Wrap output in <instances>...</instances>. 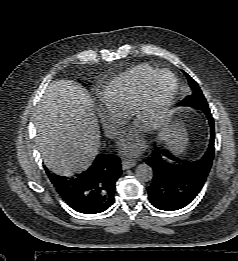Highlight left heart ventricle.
I'll use <instances>...</instances> for the list:
<instances>
[{"instance_id":"obj_1","label":"left heart ventricle","mask_w":238,"mask_h":261,"mask_svg":"<svg viewBox=\"0 0 238 261\" xmlns=\"http://www.w3.org/2000/svg\"><path fill=\"white\" fill-rule=\"evenodd\" d=\"M173 87V79L168 74L158 76L148 88V101L146 111L134 122V128L141 132L148 131L154 118L159 113L163 103L169 96Z\"/></svg>"}]
</instances>
